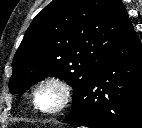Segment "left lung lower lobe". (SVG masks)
<instances>
[{"label": "left lung lower lobe", "mask_w": 142, "mask_h": 128, "mask_svg": "<svg viewBox=\"0 0 142 128\" xmlns=\"http://www.w3.org/2000/svg\"><path fill=\"white\" fill-rule=\"evenodd\" d=\"M63 122L89 128H142V46L137 34L107 55Z\"/></svg>", "instance_id": "1"}]
</instances>
